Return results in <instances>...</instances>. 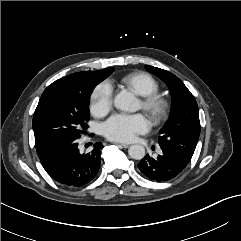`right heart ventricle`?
I'll return each instance as SVG.
<instances>
[{
  "instance_id": "right-heart-ventricle-1",
  "label": "right heart ventricle",
  "mask_w": 241,
  "mask_h": 241,
  "mask_svg": "<svg viewBox=\"0 0 241 241\" xmlns=\"http://www.w3.org/2000/svg\"><path fill=\"white\" fill-rule=\"evenodd\" d=\"M122 85L139 96H147L157 93L159 84L150 74L145 72H133L124 76Z\"/></svg>"
}]
</instances>
